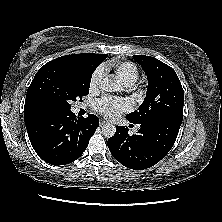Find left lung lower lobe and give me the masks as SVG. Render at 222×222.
<instances>
[{
    "mask_svg": "<svg viewBox=\"0 0 222 222\" xmlns=\"http://www.w3.org/2000/svg\"><path fill=\"white\" fill-rule=\"evenodd\" d=\"M182 119L161 116L140 124L137 134L130 136L128 128L118 126L108 139V148L122 165L143 170L158 163L174 145Z\"/></svg>",
    "mask_w": 222,
    "mask_h": 222,
    "instance_id": "obj_1",
    "label": "left lung lower lobe"
}]
</instances>
